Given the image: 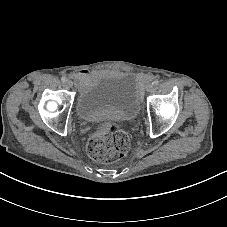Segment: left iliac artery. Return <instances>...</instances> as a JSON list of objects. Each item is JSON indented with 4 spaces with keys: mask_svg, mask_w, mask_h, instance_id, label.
Wrapping results in <instances>:
<instances>
[{
    "mask_svg": "<svg viewBox=\"0 0 227 227\" xmlns=\"http://www.w3.org/2000/svg\"><path fill=\"white\" fill-rule=\"evenodd\" d=\"M152 84L154 85V86H157L158 84H159V80H154L153 82H152Z\"/></svg>",
    "mask_w": 227,
    "mask_h": 227,
    "instance_id": "left-iliac-artery-1",
    "label": "left iliac artery"
}]
</instances>
